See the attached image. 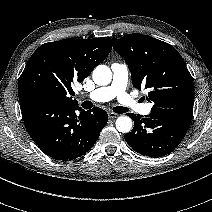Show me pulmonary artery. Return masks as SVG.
Here are the masks:
<instances>
[{"label": "pulmonary artery", "mask_w": 212, "mask_h": 212, "mask_svg": "<svg viewBox=\"0 0 212 212\" xmlns=\"http://www.w3.org/2000/svg\"><path fill=\"white\" fill-rule=\"evenodd\" d=\"M113 73L112 82L108 86L97 88L83 97L95 102H106L117 98L121 106L128 110L147 115L151 112L150 104H140L136 99L126 92L129 78V69L126 64L113 63L111 65Z\"/></svg>", "instance_id": "1"}]
</instances>
